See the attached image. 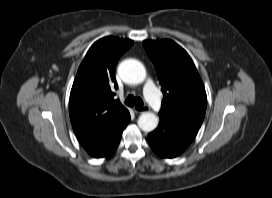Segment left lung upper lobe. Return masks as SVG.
I'll return each instance as SVG.
<instances>
[{
  "label": "left lung upper lobe",
  "instance_id": "obj_1",
  "mask_svg": "<svg viewBox=\"0 0 272 198\" xmlns=\"http://www.w3.org/2000/svg\"><path fill=\"white\" fill-rule=\"evenodd\" d=\"M164 94L159 115L201 126L207 106L203 82L188 53L172 40H145Z\"/></svg>",
  "mask_w": 272,
  "mask_h": 198
}]
</instances>
